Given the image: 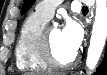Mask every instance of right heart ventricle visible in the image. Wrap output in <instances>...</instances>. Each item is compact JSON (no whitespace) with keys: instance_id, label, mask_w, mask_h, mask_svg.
<instances>
[{"instance_id":"e07e8e85","label":"right heart ventricle","mask_w":107,"mask_h":75,"mask_svg":"<svg viewBox=\"0 0 107 75\" xmlns=\"http://www.w3.org/2000/svg\"><path fill=\"white\" fill-rule=\"evenodd\" d=\"M47 22L48 20L36 11L23 22L15 46V62L18 69L32 72L49 69L40 50V36Z\"/></svg>"}]
</instances>
